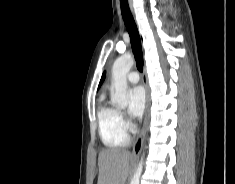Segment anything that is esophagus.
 Listing matches in <instances>:
<instances>
[{
	"label": "esophagus",
	"mask_w": 235,
	"mask_h": 184,
	"mask_svg": "<svg viewBox=\"0 0 235 184\" xmlns=\"http://www.w3.org/2000/svg\"><path fill=\"white\" fill-rule=\"evenodd\" d=\"M129 5H130V8H132L131 0H129ZM142 81H143V85H144L145 92H146V105H145V111H144V121H143V126H142L141 133L137 137V139L135 141V144L133 146L131 156H138L141 152V149L143 147L145 134H146L148 118H149L150 89H149V85H148V78H147L145 67L143 69Z\"/></svg>",
	"instance_id": "1"
}]
</instances>
